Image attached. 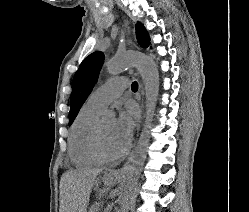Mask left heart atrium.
Wrapping results in <instances>:
<instances>
[{
  "instance_id": "left-heart-atrium-1",
  "label": "left heart atrium",
  "mask_w": 249,
  "mask_h": 212,
  "mask_svg": "<svg viewBox=\"0 0 249 212\" xmlns=\"http://www.w3.org/2000/svg\"><path fill=\"white\" fill-rule=\"evenodd\" d=\"M136 119L135 109L131 106L120 112L113 126V141L120 152L128 149Z\"/></svg>"
}]
</instances>
